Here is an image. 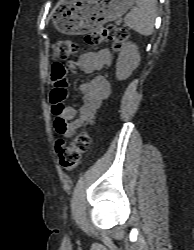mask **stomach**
I'll return each instance as SVG.
<instances>
[{"instance_id": "obj_1", "label": "stomach", "mask_w": 194, "mask_h": 250, "mask_svg": "<svg viewBox=\"0 0 194 250\" xmlns=\"http://www.w3.org/2000/svg\"><path fill=\"white\" fill-rule=\"evenodd\" d=\"M135 1L60 0L54 9L53 24L65 34H86L120 18Z\"/></svg>"}]
</instances>
